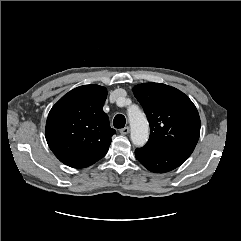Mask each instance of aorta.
Instances as JSON below:
<instances>
[{"label": "aorta", "instance_id": "762f6f07", "mask_svg": "<svg viewBox=\"0 0 241 241\" xmlns=\"http://www.w3.org/2000/svg\"><path fill=\"white\" fill-rule=\"evenodd\" d=\"M131 127V141L134 145L141 147L148 141L149 126L145 114L139 109L128 112Z\"/></svg>", "mask_w": 241, "mask_h": 241}]
</instances>
